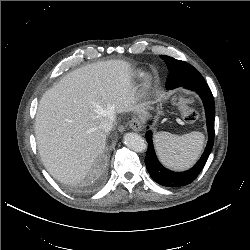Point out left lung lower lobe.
<instances>
[{"instance_id": "left-lung-lower-lobe-1", "label": "left lung lower lobe", "mask_w": 250, "mask_h": 250, "mask_svg": "<svg viewBox=\"0 0 250 250\" xmlns=\"http://www.w3.org/2000/svg\"><path fill=\"white\" fill-rule=\"evenodd\" d=\"M175 65L182 71L185 75H193L195 69L192 65L186 62L176 63ZM178 73V72H177ZM186 89L195 91L201 97L206 113V122L208 129V143L205 148V151L198 162L189 170L185 172H173L166 169L158 161L155 154L153 141H152V132L148 130L145 134L146 140L148 142L147 154L145 157V164L151 178L158 184L166 187H180L190 184L193 180L196 179L198 174L203 169L214 143V120H215V104L212 92L208 85L205 83V80L188 82L181 86ZM176 87V88H177Z\"/></svg>"}]
</instances>
